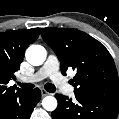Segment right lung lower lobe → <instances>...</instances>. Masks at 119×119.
I'll list each match as a JSON object with an SVG mask.
<instances>
[{"label":"right lung lower lobe","mask_w":119,"mask_h":119,"mask_svg":"<svg viewBox=\"0 0 119 119\" xmlns=\"http://www.w3.org/2000/svg\"><path fill=\"white\" fill-rule=\"evenodd\" d=\"M41 99V91L36 88L31 92L17 90L0 95V119H29Z\"/></svg>","instance_id":"obj_1"}]
</instances>
